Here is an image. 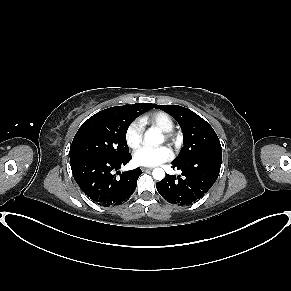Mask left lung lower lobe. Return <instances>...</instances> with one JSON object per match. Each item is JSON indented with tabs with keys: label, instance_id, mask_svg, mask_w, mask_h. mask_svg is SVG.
Masks as SVG:
<instances>
[{
	"label": "left lung lower lobe",
	"instance_id": "left-lung-lower-lobe-1",
	"mask_svg": "<svg viewBox=\"0 0 291 291\" xmlns=\"http://www.w3.org/2000/svg\"><path fill=\"white\" fill-rule=\"evenodd\" d=\"M222 162V152L193 156L181 162L172 161L181 175H167L156 183L160 195L170 203L181 206L196 202L216 182Z\"/></svg>",
	"mask_w": 291,
	"mask_h": 291
}]
</instances>
